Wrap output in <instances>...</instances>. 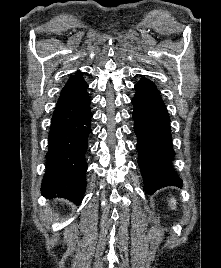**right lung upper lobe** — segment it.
Listing matches in <instances>:
<instances>
[{
    "mask_svg": "<svg viewBox=\"0 0 221 268\" xmlns=\"http://www.w3.org/2000/svg\"><path fill=\"white\" fill-rule=\"evenodd\" d=\"M87 83L83 80L80 72L70 77L66 85L61 91L59 102H66L76 99L86 93Z\"/></svg>",
    "mask_w": 221,
    "mask_h": 268,
    "instance_id": "cb5924a9",
    "label": "right lung upper lobe"
}]
</instances>
